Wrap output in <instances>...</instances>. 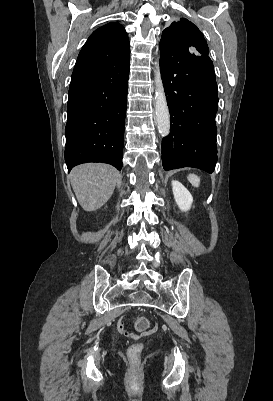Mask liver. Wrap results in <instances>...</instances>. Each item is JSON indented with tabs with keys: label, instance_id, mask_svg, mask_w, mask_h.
Returning a JSON list of instances; mask_svg holds the SVG:
<instances>
[{
	"label": "liver",
	"instance_id": "1",
	"mask_svg": "<svg viewBox=\"0 0 273 401\" xmlns=\"http://www.w3.org/2000/svg\"><path fill=\"white\" fill-rule=\"evenodd\" d=\"M72 188L84 211H96L107 203L121 176L110 164L88 162L79 164L70 172Z\"/></svg>",
	"mask_w": 273,
	"mask_h": 401
}]
</instances>
